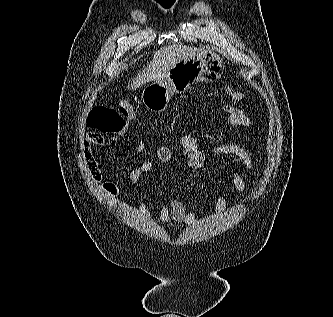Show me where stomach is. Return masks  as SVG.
Segmentation results:
<instances>
[{
	"label": "stomach",
	"mask_w": 333,
	"mask_h": 317,
	"mask_svg": "<svg viewBox=\"0 0 333 317\" xmlns=\"http://www.w3.org/2000/svg\"><path fill=\"white\" fill-rule=\"evenodd\" d=\"M222 69V59L211 51L201 57L182 60L168 71L164 79L156 80L144 88L142 102L148 110L164 111L173 93H184L195 82L207 77L215 78Z\"/></svg>",
	"instance_id": "0dacf381"
}]
</instances>
